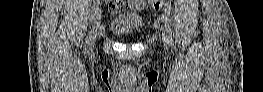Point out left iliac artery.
Returning <instances> with one entry per match:
<instances>
[{
	"instance_id": "1",
	"label": "left iliac artery",
	"mask_w": 263,
	"mask_h": 92,
	"mask_svg": "<svg viewBox=\"0 0 263 92\" xmlns=\"http://www.w3.org/2000/svg\"><path fill=\"white\" fill-rule=\"evenodd\" d=\"M163 21H165L168 44L172 45L173 39H172V30H171V23L169 21V15H164Z\"/></svg>"
}]
</instances>
